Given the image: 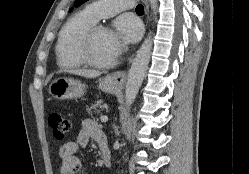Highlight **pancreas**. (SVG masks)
Instances as JSON below:
<instances>
[{"label":"pancreas","instance_id":"pancreas-1","mask_svg":"<svg viewBox=\"0 0 249 174\" xmlns=\"http://www.w3.org/2000/svg\"><path fill=\"white\" fill-rule=\"evenodd\" d=\"M103 108H104L103 101L98 100V101L92 103L90 106H87V111H88V113H90L92 111L100 112Z\"/></svg>","mask_w":249,"mask_h":174}]
</instances>
